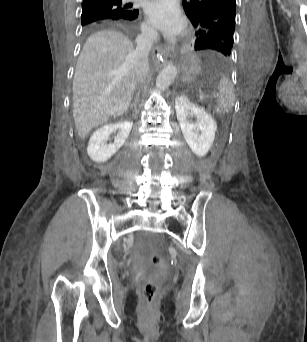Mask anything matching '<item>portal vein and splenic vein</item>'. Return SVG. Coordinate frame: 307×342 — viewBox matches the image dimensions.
I'll return each mask as SVG.
<instances>
[{"label": "portal vein and splenic vein", "instance_id": "18ae733b", "mask_svg": "<svg viewBox=\"0 0 307 342\" xmlns=\"http://www.w3.org/2000/svg\"><path fill=\"white\" fill-rule=\"evenodd\" d=\"M199 91H200L199 94L201 95V96H200V97H201L200 100L203 102V101L205 100V99H204V97H205V96H204V95H205V92H204V90H203L202 88H201Z\"/></svg>", "mask_w": 307, "mask_h": 342}]
</instances>
